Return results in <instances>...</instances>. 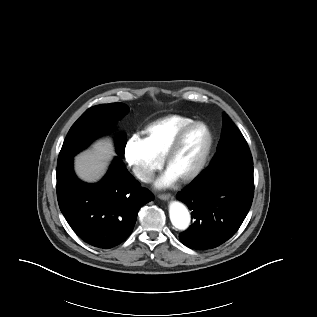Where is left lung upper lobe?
Wrapping results in <instances>:
<instances>
[{"instance_id":"1","label":"left lung upper lobe","mask_w":317,"mask_h":317,"mask_svg":"<svg viewBox=\"0 0 317 317\" xmlns=\"http://www.w3.org/2000/svg\"><path fill=\"white\" fill-rule=\"evenodd\" d=\"M230 161L253 164L252 155L246 140L230 117L223 114L221 138L217 146V153L209 167L218 169Z\"/></svg>"}]
</instances>
